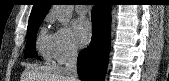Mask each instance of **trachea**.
<instances>
[{"label": "trachea", "instance_id": "trachea-1", "mask_svg": "<svg viewBox=\"0 0 169 81\" xmlns=\"http://www.w3.org/2000/svg\"><path fill=\"white\" fill-rule=\"evenodd\" d=\"M84 4H82V5H89V1H86V2H83Z\"/></svg>", "mask_w": 169, "mask_h": 81}]
</instances>
